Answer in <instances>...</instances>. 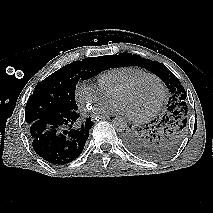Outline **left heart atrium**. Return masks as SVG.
Instances as JSON below:
<instances>
[{"label":"left heart atrium","mask_w":213,"mask_h":213,"mask_svg":"<svg viewBox=\"0 0 213 213\" xmlns=\"http://www.w3.org/2000/svg\"><path fill=\"white\" fill-rule=\"evenodd\" d=\"M95 115H103V114H123V115H129L128 110L126 107L118 102L114 101L110 104L97 107L94 112Z\"/></svg>","instance_id":"39dd6f15"}]
</instances>
